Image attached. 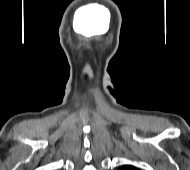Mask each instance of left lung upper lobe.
Instances as JSON below:
<instances>
[{"instance_id": "left-lung-upper-lobe-1", "label": "left lung upper lobe", "mask_w": 190, "mask_h": 170, "mask_svg": "<svg viewBox=\"0 0 190 170\" xmlns=\"http://www.w3.org/2000/svg\"><path fill=\"white\" fill-rule=\"evenodd\" d=\"M119 170H138V169H136L134 166L131 165H125L122 166Z\"/></svg>"}]
</instances>
